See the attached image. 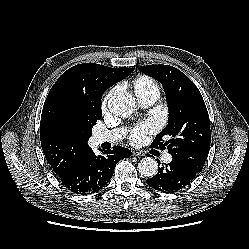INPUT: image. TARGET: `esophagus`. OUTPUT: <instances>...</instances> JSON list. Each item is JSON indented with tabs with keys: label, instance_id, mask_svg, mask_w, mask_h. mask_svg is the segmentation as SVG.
Returning a JSON list of instances; mask_svg holds the SVG:
<instances>
[{
	"label": "esophagus",
	"instance_id": "34e87169",
	"mask_svg": "<svg viewBox=\"0 0 249 249\" xmlns=\"http://www.w3.org/2000/svg\"><path fill=\"white\" fill-rule=\"evenodd\" d=\"M133 156H144L143 151H132Z\"/></svg>",
	"mask_w": 249,
	"mask_h": 249
}]
</instances>
